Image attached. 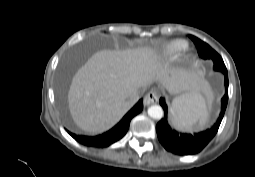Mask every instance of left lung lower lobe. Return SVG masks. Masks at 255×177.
<instances>
[{
    "instance_id": "1",
    "label": "left lung lower lobe",
    "mask_w": 255,
    "mask_h": 177,
    "mask_svg": "<svg viewBox=\"0 0 255 177\" xmlns=\"http://www.w3.org/2000/svg\"><path fill=\"white\" fill-rule=\"evenodd\" d=\"M225 88L226 91L221 100V113L216 123L212 128L194 134L180 133L169 126L167 105L164 99L160 98L159 102L164 109L165 115L156 125V131L160 143L167 151L181 156L197 154L213 139L221 124L228 103V75L225 76Z\"/></svg>"
}]
</instances>
